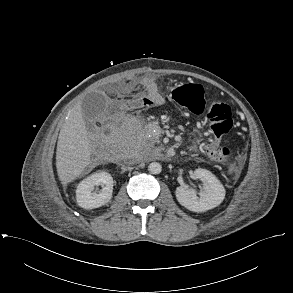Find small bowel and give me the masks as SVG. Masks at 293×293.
<instances>
[{"mask_svg": "<svg viewBox=\"0 0 293 293\" xmlns=\"http://www.w3.org/2000/svg\"><path fill=\"white\" fill-rule=\"evenodd\" d=\"M126 90L144 89L154 99L155 105H161L165 102L164 96L158 89L155 78L151 75H144L139 78L130 79L124 85Z\"/></svg>", "mask_w": 293, "mask_h": 293, "instance_id": "1", "label": "small bowel"}]
</instances>
